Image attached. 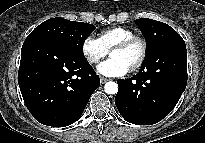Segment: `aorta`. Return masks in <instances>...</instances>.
I'll use <instances>...</instances> for the list:
<instances>
[{
  "label": "aorta",
  "mask_w": 205,
  "mask_h": 143,
  "mask_svg": "<svg viewBox=\"0 0 205 143\" xmlns=\"http://www.w3.org/2000/svg\"><path fill=\"white\" fill-rule=\"evenodd\" d=\"M104 91L107 94H116L118 92V85L116 82L109 81L104 85Z\"/></svg>",
  "instance_id": "aorta-1"
}]
</instances>
